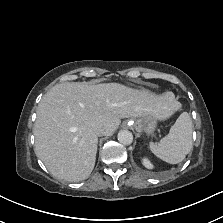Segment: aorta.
I'll use <instances>...</instances> for the list:
<instances>
[{
    "label": "aorta",
    "instance_id": "obj_1",
    "mask_svg": "<svg viewBox=\"0 0 223 223\" xmlns=\"http://www.w3.org/2000/svg\"><path fill=\"white\" fill-rule=\"evenodd\" d=\"M118 141L123 145H130L133 142V135L128 130H121L118 133Z\"/></svg>",
    "mask_w": 223,
    "mask_h": 223
}]
</instances>
